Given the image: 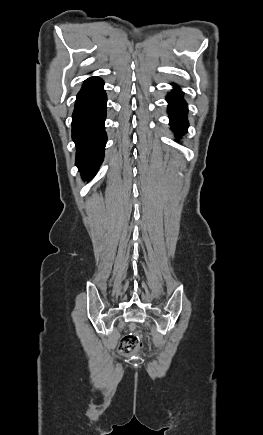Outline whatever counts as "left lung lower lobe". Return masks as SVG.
Wrapping results in <instances>:
<instances>
[{
  "instance_id": "left-lung-lower-lobe-1",
  "label": "left lung lower lobe",
  "mask_w": 263,
  "mask_h": 435,
  "mask_svg": "<svg viewBox=\"0 0 263 435\" xmlns=\"http://www.w3.org/2000/svg\"><path fill=\"white\" fill-rule=\"evenodd\" d=\"M181 94L180 89L175 87L173 93L167 97L170 125L177 136L184 134L188 127L186 119L188 106Z\"/></svg>"
}]
</instances>
